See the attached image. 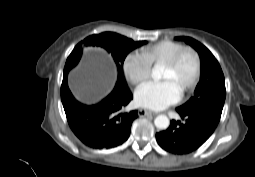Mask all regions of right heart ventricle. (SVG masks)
Instances as JSON below:
<instances>
[{
    "mask_svg": "<svg viewBox=\"0 0 255 177\" xmlns=\"http://www.w3.org/2000/svg\"><path fill=\"white\" fill-rule=\"evenodd\" d=\"M183 47L184 45L180 42L163 40L143 48L142 54L148 59L151 65H162Z\"/></svg>",
    "mask_w": 255,
    "mask_h": 177,
    "instance_id": "right-heart-ventricle-1",
    "label": "right heart ventricle"
}]
</instances>
